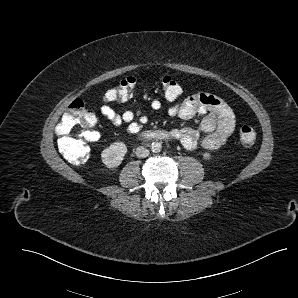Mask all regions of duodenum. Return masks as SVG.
<instances>
[{
    "instance_id": "duodenum-1",
    "label": "duodenum",
    "mask_w": 298,
    "mask_h": 298,
    "mask_svg": "<svg viewBox=\"0 0 298 298\" xmlns=\"http://www.w3.org/2000/svg\"><path fill=\"white\" fill-rule=\"evenodd\" d=\"M146 137L149 139H162V138H165L166 135H164L163 133L151 132V133H148Z\"/></svg>"
}]
</instances>
